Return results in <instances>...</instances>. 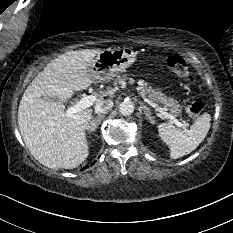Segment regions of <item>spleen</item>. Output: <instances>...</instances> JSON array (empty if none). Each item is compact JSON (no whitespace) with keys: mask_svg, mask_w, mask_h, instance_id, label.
Segmentation results:
<instances>
[{"mask_svg":"<svg viewBox=\"0 0 233 233\" xmlns=\"http://www.w3.org/2000/svg\"><path fill=\"white\" fill-rule=\"evenodd\" d=\"M210 121V114L203 113L189 131H182L168 123L159 124L158 133L160 138L170 147V157L177 159L195 150L206 137Z\"/></svg>","mask_w":233,"mask_h":233,"instance_id":"3e777b00","label":"spleen"}]
</instances>
